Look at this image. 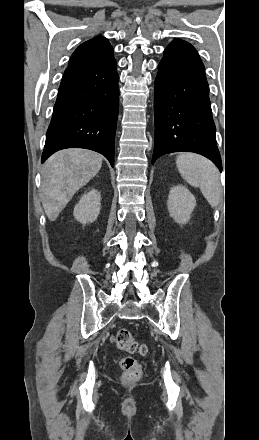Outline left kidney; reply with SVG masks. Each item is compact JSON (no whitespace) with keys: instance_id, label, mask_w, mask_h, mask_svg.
Here are the masks:
<instances>
[{"instance_id":"5707ae66","label":"left kidney","mask_w":259,"mask_h":440,"mask_svg":"<svg viewBox=\"0 0 259 440\" xmlns=\"http://www.w3.org/2000/svg\"><path fill=\"white\" fill-rule=\"evenodd\" d=\"M169 215L178 224H186L196 206L195 197L184 186H174L169 191L167 201Z\"/></svg>"}]
</instances>
